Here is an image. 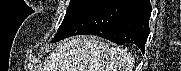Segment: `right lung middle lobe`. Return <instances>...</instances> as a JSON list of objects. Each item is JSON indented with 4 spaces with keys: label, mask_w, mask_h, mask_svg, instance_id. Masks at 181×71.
<instances>
[{
    "label": "right lung middle lobe",
    "mask_w": 181,
    "mask_h": 71,
    "mask_svg": "<svg viewBox=\"0 0 181 71\" xmlns=\"http://www.w3.org/2000/svg\"><path fill=\"white\" fill-rule=\"evenodd\" d=\"M94 0H71L70 5L67 8L66 15L59 29L69 23L74 17H76L82 10L90 5ZM58 29V30H59Z\"/></svg>",
    "instance_id": "right-lung-middle-lobe-1"
}]
</instances>
